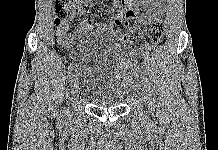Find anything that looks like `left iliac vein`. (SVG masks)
<instances>
[{"label": "left iliac vein", "instance_id": "1", "mask_svg": "<svg viewBox=\"0 0 218 150\" xmlns=\"http://www.w3.org/2000/svg\"><path fill=\"white\" fill-rule=\"evenodd\" d=\"M139 84H142V77L141 76L137 77V81L134 83V85L132 87V92L134 94H138Z\"/></svg>", "mask_w": 218, "mask_h": 150}]
</instances>
